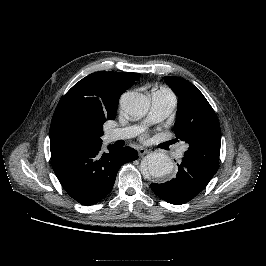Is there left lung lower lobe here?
<instances>
[{
    "label": "left lung lower lobe",
    "instance_id": "1",
    "mask_svg": "<svg viewBox=\"0 0 266 266\" xmlns=\"http://www.w3.org/2000/svg\"><path fill=\"white\" fill-rule=\"evenodd\" d=\"M214 172L208 171L183 158L176 176L162 184H151L152 191L161 199L174 205L192 200L206 187Z\"/></svg>",
    "mask_w": 266,
    "mask_h": 266
}]
</instances>
